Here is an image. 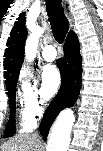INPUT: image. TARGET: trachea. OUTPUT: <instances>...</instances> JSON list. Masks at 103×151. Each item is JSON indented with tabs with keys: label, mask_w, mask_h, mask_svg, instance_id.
Listing matches in <instances>:
<instances>
[{
	"label": "trachea",
	"mask_w": 103,
	"mask_h": 151,
	"mask_svg": "<svg viewBox=\"0 0 103 151\" xmlns=\"http://www.w3.org/2000/svg\"><path fill=\"white\" fill-rule=\"evenodd\" d=\"M46 11L51 23L52 33L57 42L62 43L69 30V22L64 14L61 0H45Z\"/></svg>",
	"instance_id": "trachea-1"
}]
</instances>
